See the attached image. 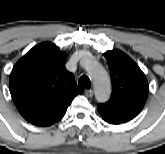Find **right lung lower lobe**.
Returning a JSON list of instances; mask_svg holds the SVG:
<instances>
[{
	"label": "right lung lower lobe",
	"mask_w": 165,
	"mask_h": 154,
	"mask_svg": "<svg viewBox=\"0 0 165 154\" xmlns=\"http://www.w3.org/2000/svg\"><path fill=\"white\" fill-rule=\"evenodd\" d=\"M71 102L72 100L66 101L56 108L32 117L28 121L37 126H49L64 116Z\"/></svg>",
	"instance_id": "98d812e1"
}]
</instances>
